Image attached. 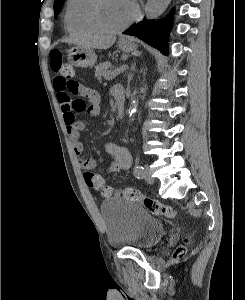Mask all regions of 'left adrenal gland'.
<instances>
[{
    "label": "left adrenal gland",
    "instance_id": "obj_1",
    "mask_svg": "<svg viewBox=\"0 0 245 300\" xmlns=\"http://www.w3.org/2000/svg\"><path fill=\"white\" fill-rule=\"evenodd\" d=\"M132 70H135V64L132 65L131 71H132ZM132 77H133V74L130 73V74H129V82L132 80Z\"/></svg>",
    "mask_w": 245,
    "mask_h": 300
}]
</instances>
